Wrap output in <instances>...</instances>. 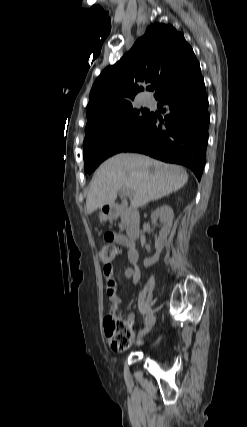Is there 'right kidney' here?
Returning a JSON list of instances; mask_svg holds the SVG:
<instances>
[{
	"mask_svg": "<svg viewBox=\"0 0 247 427\" xmlns=\"http://www.w3.org/2000/svg\"><path fill=\"white\" fill-rule=\"evenodd\" d=\"M173 218L174 212L169 205H163L157 208L151 214V219L153 221L160 219V222L162 223V228L159 233V238L156 242V253L152 258L144 260L145 267H149L159 260L160 253L167 242V236L170 233Z\"/></svg>",
	"mask_w": 247,
	"mask_h": 427,
	"instance_id": "ca27d5eb",
	"label": "right kidney"
}]
</instances>
